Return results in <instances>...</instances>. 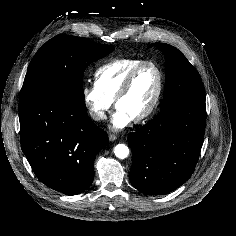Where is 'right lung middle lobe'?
Wrapping results in <instances>:
<instances>
[{
  "mask_svg": "<svg viewBox=\"0 0 236 236\" xmlns=\"http://www.w3.org/2000/svg\"><path fill=\"white\" fill-rule=\"evenodd\" d=\"M114 50L86 38L57 35L47 41L32 59L20 99L35 94H55L82 102L83 73L87 65Z\"/></svg>",
  "mask_w": 236,
  "mask_h": 236,
  "instance_id": "dd1d6c3e",
  "label": "right lung middle lobe"
}]
</instances>
